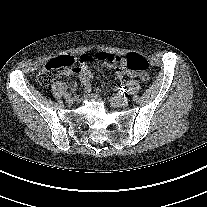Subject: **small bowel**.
Segmentation results:
<instances>
[{
  "label": "small bowel",
  "instance_id": "1",
  "mask_svg": "<svg viewBox=\"0 0 207 207\" xmlns=\"http://www.w3.org/2000/svg\"><path fill=\"white\" fill-rule=\"evenodd\" d=\"M66 75H76L80 78L84 88L86 91L91 90V81L93 78V74L91 70L88 68L87 65L84 63L82 64L81 67L77 68L74 71H65L61 73V76H66ZM116 77L118 79H121L123 77H129V78H134V77H139L141 80H146V75L144 74H135L129 70H127L124 66L120 67L116 71Z\"/></svg>",
  "mask_w": 207,
  "mask_h": 207
}]
</instances>
